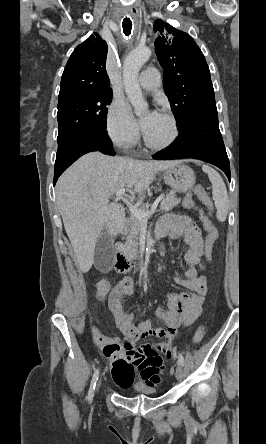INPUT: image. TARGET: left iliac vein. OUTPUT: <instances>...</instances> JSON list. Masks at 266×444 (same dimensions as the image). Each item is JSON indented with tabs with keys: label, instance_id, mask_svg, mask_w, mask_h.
Returning a JSON list of instances; mask_svg holds the SVG:
<instances>
[{
	"label": "left iliac vein",
	"instance_id": "obj_1",
	"mask_svg": "<svg viewBox=\"0 0 266 444\" xmlns=\"http://www.w3.org/2000/svg\"><path fill=\"white\" fill-rule=\"evenodd\" d=\"M175 375H176V378H177V380L179 382H181L183 380V378H184V369H183V366L180 363H178V365H177V369H176V374Z\"/></svg>",
	"mask_w": 266,
	"mask_h": 444
}]
</instances>
